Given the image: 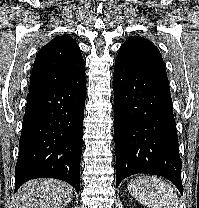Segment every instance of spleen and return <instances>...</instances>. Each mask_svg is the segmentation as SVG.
<instances>
[{"instance_id": "3e777b00", "label": "spleen", "mask_w": 199, "mask_h": 208, "mask_svg": "<svg viewBox=\"0 0 199 208\" xmlns=\"http://www.w3.org/2000/svg\"><path fill=\"white\" fill-rule=\"evenodd\" d=\"M128 190L142 205L150 208H179L174 189L156 176H140L128 183Z\"/></svg>"}]
</instances>
